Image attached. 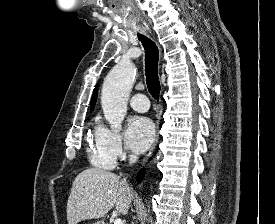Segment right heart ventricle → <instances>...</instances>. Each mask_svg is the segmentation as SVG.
<instances>
[{
    "label": "right heart ventricle",
    "mask_w": 275,
    "mask_h": 224,
    "mask_svg": "<svg viewBox=\"0 0 275 224\" xmlns=\"http://www.w3.org/2000/svg\"><path fill=\"white\" fill-rule=\"evenodd\" d=\"M87 153L91 164L102 169H112L115 165V159L104 147L99 127L95 128L88 139Z\"/></svg>",
    "instance_id": "obj_1"
}]
</instances>
